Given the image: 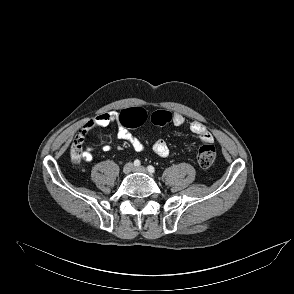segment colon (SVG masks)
Segmentation results:
<instances>
[{
	"mask_svg": "<svg viewBox=\"0 0 294 294\" xmlns=\"http://www.w3.org/2000/svg\"><path fill=\"white\" fill-rule=\"evenodd\" d=\"M172 113L166 110H157L150 116L153 124L164 126L172 122ZM148 119L147 112L140 107H133L122 110L119 113V120L122 125L129 128H135L143 125ZM84 137L81 133L77 134L71 145V157L74 161H79L81 158V149ZM216 158L215 147L211 144L203 145L197 154V162L200 167H210Z\"/></svg>",
	"mask_w": 294,
	"mask_h": 294,
	"instance_id": "obj_1",
	"label": "colon"
}]
</instances>
